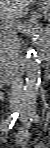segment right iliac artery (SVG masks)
Listing matches in <instances>:
<instances>
[{
    "label": "right iliac artery",
    "instance_id": "82829eb1",
    "mask_svg": "<svg viewBox=\"0 0 50 148\" xmlns=\"http://www.w3.org/2000/svg\"><path fill=\"white\" fill-rule=\"evenodd\" d=\"M24 106L25 105H23V107ZM18 116H19V112H14L6 120H4L2 125H1L2 130L6 132L9 129H11L12 126L14 125L15 121L17 120Z\"/></svg>",
    "mask_w": 50,
    "mask_h": 148
}]
</instances>
